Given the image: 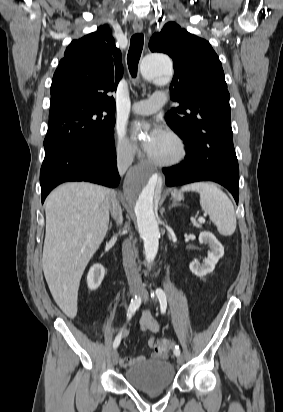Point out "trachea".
<instances>
[{
  "instance_id": "1",
  "label": "trachea",
  "mask_w": 283,
  "mask_h": 412,
  "mask_svg": "<svg viewBox=\"0 0 283 412\" xmlns=\"http://www.w3.org/2000/svg\"><path fill=\"white\" fill-rule=\"evenodd\" d=\"M144 37L142 34H135L130 41V48L127 55V63L130 74L136 77L138 63L143 49Z\"/></svg>"
}]
</instances>
